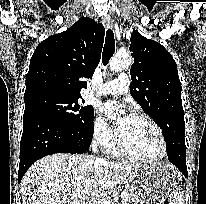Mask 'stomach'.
Wrapping results in <instances>:
<instances>
[{
    "label": "stomach",
    "mask_w": 206,
    "mask_h": 204,
    "mask_svg": "<svg viewBox=\"0 0 206 204\" xmlns=\"http://www.w3.org/2000/svg\"><path fill=\"white\" fill-rule=\"evenodd\" d=\"M127 182L137 196L138 204H164L174 191L180 189L181 175L169 163L139 165Z\"/></svg>",
    "instance_id": "stomach-1"
}]
</instances>
